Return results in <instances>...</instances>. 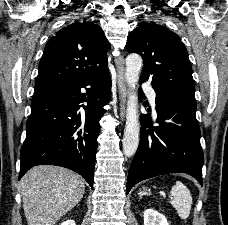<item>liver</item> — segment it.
<instances>
[{"instance_id":"1","label":"liver","mask_w":228,"mask_h":225,"mask_svg":"<svg viewBox=\"0 0 228 225\" xmlns=\"http://www.w3.org/2000/svg\"><path fill=\"white\" fill-rule=\"evenodd\" d=\"M20 185L28 225H56L85 193L80 175L62 167H33Z\"/></svg>"}]
</instances>
